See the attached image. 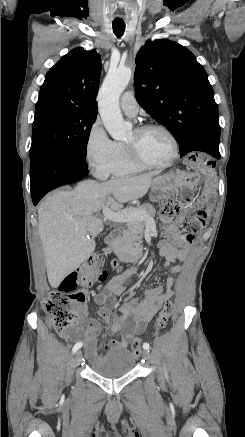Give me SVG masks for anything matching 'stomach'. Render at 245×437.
<instances>
[{
	"mask_svg": "<svg viewBox=\"0 0 245 437\" xmlns=\"http://www.w3.org/2000/svg\"><path fill=\"white\" fill-rule=\"evenodd\" d=\"M189 179L190 176L185 172H167L155 175L151 182L150 200L161 202L175 190L186 186Z\"/></svg>",
	"mask_w": 245,
	"mask_h": 437,
	"instance_id": "stomach-1",
	"label": "stomach"
}]
</instances>
